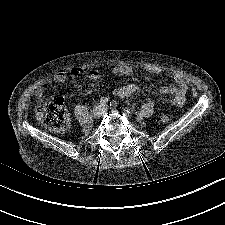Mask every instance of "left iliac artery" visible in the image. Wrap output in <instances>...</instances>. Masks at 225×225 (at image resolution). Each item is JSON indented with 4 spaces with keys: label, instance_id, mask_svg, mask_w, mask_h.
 <instances>
[{
    "label": "left iliac artery",
    "instance_id": "1",
    "mask_svg": "<svg viewBox=\"0 0 225 225\" xmlns=\"http://www.w3.org/2000/svg\"><path fill=\"white\" fill-rule=\"evenodd\" d=\"M110 106L112 108H116L118 106V103L116 101H112V102H110Z\"/></svg>",
    "mask_w": 225,
    "mask_h": 225
}]
</instances>
